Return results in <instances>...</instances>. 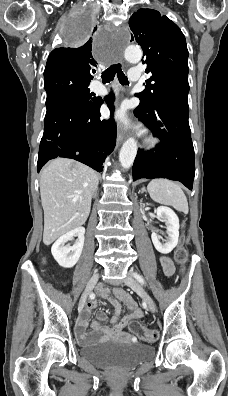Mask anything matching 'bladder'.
I'll return each instance as SVG.
<instances>
[{
	"label": "bladder",
	"mask_w": 228,
	"mask_h": 396,
	"mask_svg": "<svg viewBox=\"0 0 228 396\" xmlns=\"http://www.w3.org/2000/svg\"><path fill=\"white\" fill-rule=\"evenodd\" d=\"M154 349L145 344L104 340L80 349L90 363L104 368L130 369L153 356Z\"/></svg>",
	"instance_id": "31cf9c89"
}]
</instances>
